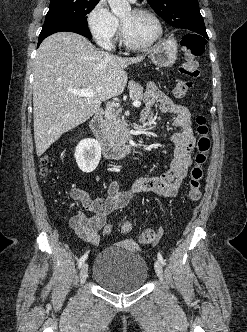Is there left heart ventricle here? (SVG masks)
Segmentation results:
<instances>
[{"label": "left heart ventricle", "instance_id": "left-heart-ventricle-1", "mask_svg": "<svg viewBox=\"0 0 247 332\" xmlns=\"http://www.w3.org/2000/svg\"><path fill=\"white\" fill-rule=\"evenodd\" d=\"M127 35L136 44H144L152 40L158 31L155 20L149 15L136 14L132 10L121 17Z\"/></svg>", "mask_w": 247, "mask_h": 332}]
</instances>
